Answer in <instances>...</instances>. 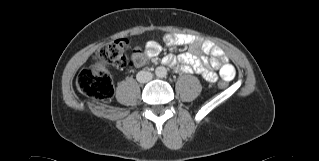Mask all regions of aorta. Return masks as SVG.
<instances>
[{
    "mask_svg": "<svg viewBox=\"0 0 319 161\" xmlns=\"http://www.w3.org/2000/svg\"><path fill=\"white\" fill-rule=\"evenodd\" d=\"M155 74L159 78H163L167 75V70L164 66H159L155 69Z\"/></svg>",
    "mask_w": 319,
    "mask_h": 161,
    "instance_id": "aorta-1",
    "label": "aorta"
}]
</instances>
